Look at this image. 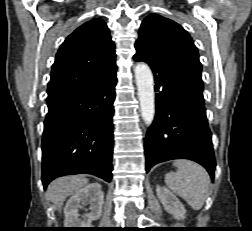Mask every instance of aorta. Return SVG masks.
Wrapping results in <instances>:
<instances>
[{
	"instance_id": "aorta-1",
	"label": "aorta",
	"mask_w": 252,
	"mask_h": 231,
	"mask_svg": "<svg viewBox=\"0 0 252 231\" xmlns=\"http://www.w3.org/2000/svg\"><path fill=\"white\" fill-rule=\"evenodd\" d=\"M141 116L147 126H150L155 116L154 80L150 67L138 63L134 69Z\"/></svg>"
}]
</instances>
